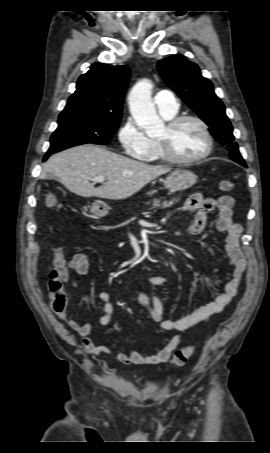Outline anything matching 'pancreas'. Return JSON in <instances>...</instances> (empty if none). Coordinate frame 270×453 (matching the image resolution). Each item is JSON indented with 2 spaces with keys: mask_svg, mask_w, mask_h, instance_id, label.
Segmentation results:
<instances>
[{
  "mask_svg": "<svg viewBox=\"0 0 270 453\" xmlns=\"http://www.w3.org/2000/svg\"><path fill=\"white\" fill-rule=\"evenodd\" d=\"M178 199H172L170 201H163L161 202L159 199H154L152 202L153 208H168L171 207L173 204L177 203ZM150 202H147L148 205Z\"/></svg>",
  "mask_w": 270,
  "mask_h": 453,
  "instance_id": "obj_1",
  "label": "pancreas"
}]
</instances>
